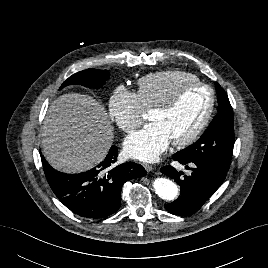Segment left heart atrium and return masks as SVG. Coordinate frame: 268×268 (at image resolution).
Returning a JSON list of instances; mask_svg holds the SVG:
<instances>
[{
	"instance_id": "obj_1",
	"label": "left heart atrium",
	"mask_w": 268,
	"mask_h": 268,
	"mask_svg": "<svg viewBox=\"0 0 268 268\" xmlns=\"http://www.w3.org/2000/svg\"><path fill=\"white\" fill-rule=\"evenodd\" d=\"M169 143L170 138L163 127L152 122L126 137L124 152L131 159L153 162L167 149Z\"/></svg>"
}]
</instances>
